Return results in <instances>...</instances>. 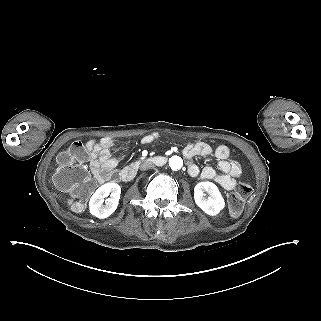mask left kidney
Instances as JSON below:
<instances>
[{"mask_svg": "<svg viewBox=\"0 0 321 321\" xmlns=\"http://www.w3.org/2000/svg\"><path fill=\"white\" fill-rule=\"evenodd\" d=\"M205 192L209 195L205 197ZM195 203L208 215H217L225 206L218 187L212 182H200L194 188Z\"/></svg>", "mask_w": 321, "mask_h": 321, "instance_id": "left-kidney-1", "label": "left kidney"}]
</instances>
